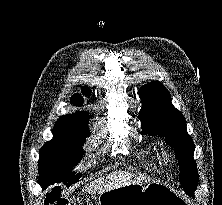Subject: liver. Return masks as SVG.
I'll list each match as a JSON object with an SVG mask.
<instances>
[{"label": "liver", "instance_id": "6515ba94", "mask_svg": "<svg viewBox=\"0 0 222 205\" xmlns=\"http://www.w3.org/2000/svg\"><path fill=\"white\" fill-rule=\"evenodd\" d=\"M143 181V178L129 172H113L106 177L99 178L98 180L86 185L83 192L100 195L103 192L129 184H141Z\"/></svg>", "mask_w": 222, "mask_h": 205}]
</instances>
